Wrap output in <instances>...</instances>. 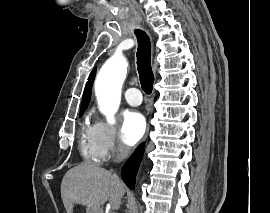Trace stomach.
<instances>
[{
    "mask_svg": "<svg viewBox=\"0 0 270 213\" xmlns=\"http://www.w3.org/2000/svg\"><path fill=\"white\" fill-rule=\"evenodd\" d=\"M86 213H103L101 209H91L87 208Z\"/></svg>",
    "mask_w": 270,
    "mask_h": 213,
    "instance_id": "stomach-1",
    "label": "stomach"
}]
</instances>
